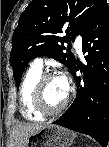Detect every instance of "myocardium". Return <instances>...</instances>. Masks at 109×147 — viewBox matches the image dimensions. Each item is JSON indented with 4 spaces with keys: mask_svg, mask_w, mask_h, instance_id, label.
Wrapping results in <instances>:
<instances>
[{
    "mask_svg": "<svg viewBox=\"0 0 109 147\" xmlns=\"http://www.w3.org/2000/svg\"><path fill=\"white\" fill-rule=\"evenodd\" d=\"M59 74L56 73H47L42 74L38 79L31 97V105L35 111L44 115V116H54L60 114L67 107L70 100V90L67 92V96L63 103L57 108L50 109L47 107L44 100V86L45 84L54 78H61Z\"/></svg>",
    "mask_w": 109,
    "mask_h": 147,
    "instance_id": "obj_1",
    "label": "myocardium"
}]
</instances>
